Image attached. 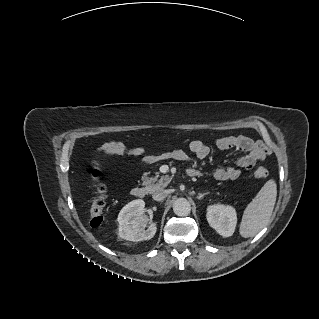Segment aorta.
Returning <instances> with one entry per match:
<instances>
[{
    "label": "aorta",
    "instance_id": "1",
    "mask_svg": "<svg viewBox=\"0 0 319 319\" xmlns=\"http://www.w3.org/2000/svg\"><path fill=\"white\" fill-rule=\"evenodd\" d=\"M173 211L177 216H187L190 214L191 205L185 198H178L173 204Z\"/></svg>",
    "mask_w": 319,
    "mask_h": 319
}]
</instances>
